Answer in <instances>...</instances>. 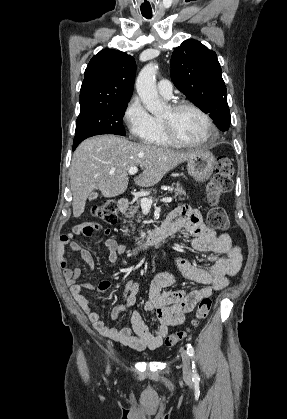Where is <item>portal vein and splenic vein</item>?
Returning <instances> with one entry per match:
<instances>
[{
  "mask_svg": "<svg viewBox=\"0 0 287 419\" xmlns=\"http://www.w3.org/2000/svg\"><path fill=\"white\" fill-rule=\"evenodd\" d=\"M137 172H138V168L137 167H130L128 169L129 175H134ZM160 201L161 202L168 203V202H171L172 201V198L171 197H165V198L160 199ZM152 203H153V200L151 198L143 197L140 200L141 208L143 210H150Z\"/></svg>",
  "mask_w": 287,
  "mask_h": 419,
  "instance_id": "18ae733b",
  "label": "portal vein and splenic vein"
}]
</instances>
